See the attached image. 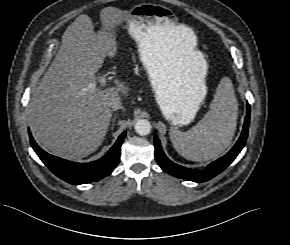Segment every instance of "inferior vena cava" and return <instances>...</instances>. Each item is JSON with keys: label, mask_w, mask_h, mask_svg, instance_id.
Returning <instances> with one entry per match:
<instances>
[{"label": "inferior vena cava", "mask_w": 290, "mask_h": 245, "mask_svg": "<svg viewBox=\"0 0 290 245\" xmlns=\"http://www.w3.org/2000/svg\"><path fill=\"white\" fill-rule=\"evenodd\" d=\"M110 107H111V109L112 110H118V109H123V106H122V103H121V100H119V99H116V100H114V101H112L111 103H110Z\"/></svg>", "instance_id": "1"}]
</instances>
